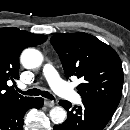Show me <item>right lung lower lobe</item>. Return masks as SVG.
<instances>
[{
  "instance_id": "1",
  "label": "right lung lower lobe",
  "mask_w": 130,
  "mask_h": 130,
  "mask_svg": "<svg viewBox=\"0 0 130 130\" xmlns=\"http://www.w3.org/2000/svg\"><path fill=\"white\" fill-rule=\"evenodd\" d=\"M43 98L28 97L0 105V130H23V117L31 108H41Z\"/></svg>"
}]
</instances>
